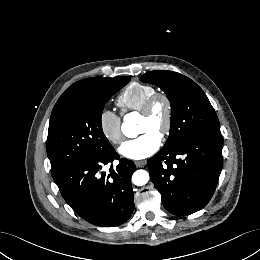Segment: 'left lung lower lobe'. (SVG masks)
<instances>
[{"label":"left lung lower lobe","instance_id":"0a47b994","mask_svg":"<svg viewBox=\"0 0 260 260\" xmlns=\"http://www.w3.org/2000/svg\"><path fill=\"white\" fill-rule=\"evenodd\" d=\"M222 147L221 132L204 133L163 147L148 160L150 178L170 213L190 215L209 202L223 165Z\"/></svg>","mask_w":260,"mask_h":260}]
</instances>
